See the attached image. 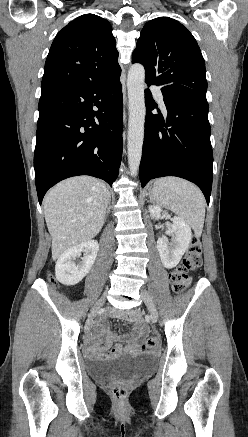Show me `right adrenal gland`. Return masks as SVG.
I'll return each instance as SVG.
<instances>
[{
	"label": "right adrenal gland",
	"mask_w": 248,
	"mask_h": 437,
	"mask_svg": "<svg viewBox=\"0 0 248 437\" xmlns=\"http://www.w3.org/2000/svg\"><path fill=\"white\" fill-rule=\"evenodd\" d=\"M110 209H111V207H110V202H109V205H108V208H107V212H106V218H107L108 214L110 213Z\"/></svg>",
	"instance_id": "2a0ac1e0"
}]
</instances>
